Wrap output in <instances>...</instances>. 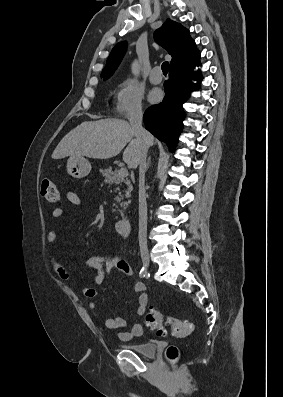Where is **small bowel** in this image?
Here are the masks:
<instances>
[{"mask_svg":"<svg viewBox=\"0 0 283 397\" xmlns=\"http://www.w3.org/2000/svg\"><path fill=\"white\" fill-rule=\"evenodd\" d=\"M67 200L76 206L82 205L81 195L77 190L68 191L66 193ZM64 215V209L61 207L54 208L51 212V216L54 219H59ZM58 232L57 230H50L46 235V241L48 243H54L57 240ZM49 261L57 276L64 280H70V272L61 264L54 252H50ZM85 265L87 268L95 271V276L92 278V284L94 286L103 283L106 273L108 270L115 268L121 273L132 276L133 270L131 265L116 256H105V255H93L86 259ZM83 294L88 298H94L97 295V290L95 287H84ZM132 291L138 294V304L136 313L138 316H142L148 304V295L145 292V285L136 281L132 285ZM96 305L94 302H90V308L95 309ZM104 326L107 329L119 330V338L123 341L131 340L134 337H139L143 334L144 328L140 322L135 323L130 331H123L126 327V320L121 317H107L104 319Z\"/></svg>","mask_w":283,"mask_h":397,"instance_id":"1","label":"small bowel"}]
</instances>
